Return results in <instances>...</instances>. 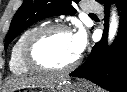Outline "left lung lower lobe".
I'll return each instance as SVG.
<instances>
[{
    "label": "left lung lower lobe",
    "mask_w": 127,
    "mask_h": 92,
    "mask_svg": "<svg viewBox=\"0 0 127 92\" xmlns=\"http://www.w3.org/2000/svg\"><path fill=\"white\" fill-rule=\"evenodd\" d=\"M113 2L117 4L120 15L115 41L110 48L107 47L106 28L102 39L94 45L85 63L71 72L70 76L86 78L111 92H127V0ZM104 12L107 20V5Z\"/></svg>",
    "instance_id": "obj_1"
}]
</instances>
